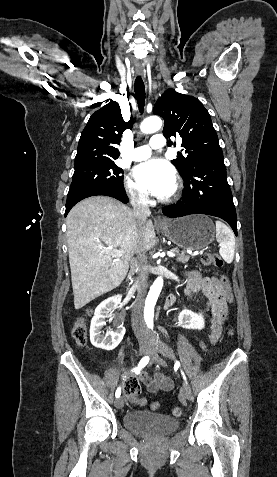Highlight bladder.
Segmentation results:
<instances>
[{"instance_id": "1", "label": "bladder", "mask_w": 277, "mask_h": 477, "mask_svg": "<svg viewBox=\"0 0 277 477\" xmlns=\"http://www.w3.org/2000/svg\"><path fill=\"white\" fill-rule=\"evenodd\" d=\"M124 425L142 437L158 438L174 432L180 422L160 413L130 411L124 416Z\"/></svg>"}]
</instances>
